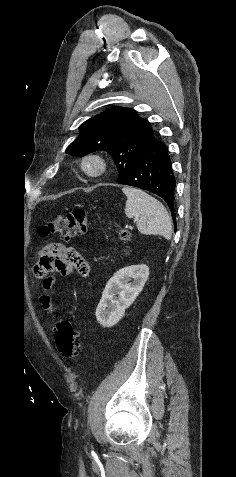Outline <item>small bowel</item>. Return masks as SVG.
Listing matches in <instances>:
<instances>
[{
	"mask_svg": "<svg viewBox=\"0 0 236 477\" xmlns=\"http://www.w3.org/2000/svg\"><path fill=\"white\" fill-rule=\"evenodd\" d=\"M50 248L55 249V253H50L45 257H41L37 266L36 272L38 275H44L50 272H57L60 275L66 276L71 274L75 269L82 273H87L89 270L87 262L84 258L71 247H66L62 244L54 243L49 245ZM77 257L83 259V263L77 261ZM85 267V270H83ZM54 281L52 278H46L44 280L45 292L40 297V302L44 309L49 312H55L56 308L52 303L49 289L53 286Z\"/></svg>",
	"mask_w": 236,
	"mask_h": 477,
	"instance_id": "1",
	"label": "small bowel"
}]
</instances>
